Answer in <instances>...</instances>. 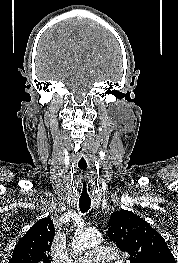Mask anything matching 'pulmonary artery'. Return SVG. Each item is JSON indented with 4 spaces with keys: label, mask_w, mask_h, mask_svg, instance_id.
I'll use <instances>...</instances> for the list:
<instances>
[{
    "label": "pulmonary artery",
    "mask_w": 178,
    "mask_h": 263,
    "mask_svg": "<svg viewBox=\"0 0 178 263\" xmlns=\"http://www.w3.org/2000/svg\"><path fill=\"white\" fill-rule=\"evenodd\" d=\"M119 258L118 251L110 247H96L82 256L74 259L73 263H110Z\"/></svg>",
    "instance_id": "1"
}]
</instances>
